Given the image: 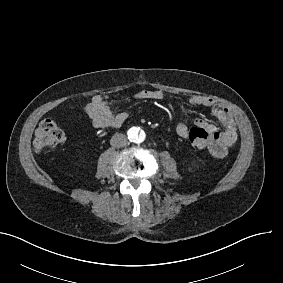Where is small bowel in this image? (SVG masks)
Wrapping results in <instances>:
<instances>
[{
	"instance_id": "c3829d8e",
	"label": "small bowel",
	"mask_w": 283,
	"mask_h": 283,
	"mask_svg": "<svg viewBox=\"0 0 283 283\" xmlns=\"http://www.w3.org/2000/svg\"><path fill=\"white\" fill-rule=\"evenodd\" d=\"M133 98L136 100L160 101L166 98V94L161 90L144 89L135 92ZM189 102L195 106L209 108L214 117L222 125L223 131L219 132L214 123L197 119L201 128L208 130L214 136L215 144L209 154L219 159L226 157L229 149L238 141L236 120L231 111L209 96L193 95ZM85 113L92 125L98 129L118 128L128 118L126 112H113L110 109L108 97L104 94L94 95L86 105ZM183 124L181 122L176 126V132L180 137L187 139L183 131Z\"/></svg>"
}]
</instances>
